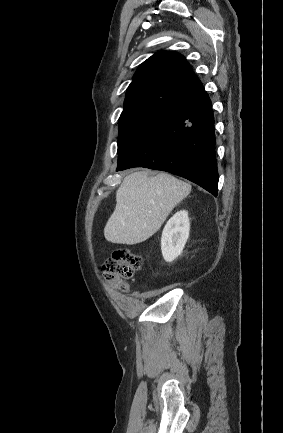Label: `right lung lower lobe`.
<instances>
[{
    "label": "right lung lower lobe",
    "mask_w": 283,
    "mask_h": 433,
    "mask_svg": "<svg viewBox=\"0 0 283 433\" xmlns=\"http://www.w3.org/2000/svg\"><path fill=\"white\" fill-rule=\"evenodd\" d=\"M147 167L218 193L214 117L205 91L152 119L118 155L117 171Z\"/></svg>",
    "instance_id": "obj_1"
}]
</instances>
